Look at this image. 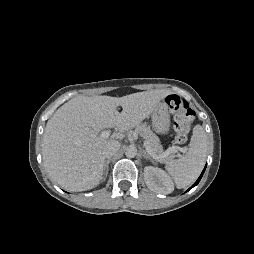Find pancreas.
Returning <instances> with one entry per match:
<instances>
[{
    "instance_id": "pancreas-1",
    "label": "pancreas",
    "mask_w": 254,
    "mask_h": 254,
    "mask_svg": "<svg viewBox=\"0 0 254 254\" xmlns=\"http://www.w3.org/2000/svg\"><path fill=\"white\" fill-rule=\"evenodd\" d=\"M136 129L139 132L140 136L145 139V145L151 148L154 155L162 156L165 154V152H163L159 138L151 131L150 127H148L146 124H139L136 126ZM174 157L175 155H166L165 157L157 158L156 160L160 163H167Z\"/></svg>"
}]
</instances>
